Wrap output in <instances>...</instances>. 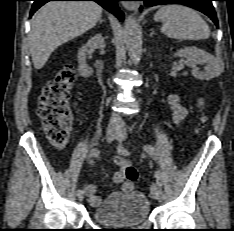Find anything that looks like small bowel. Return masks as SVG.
<instances>
[{
    "label": "small bowel",
    "mask_w": 234,
    "mask_h": 231,
    "mask_svg": "<svg viewBox=\"0 0 234 231\" xmlns=\"http://www.w3.org/2000/svg\"><path fill=\"white\" fill-rule=\"evenodd\" d=\"M168 103L170 105L171 113H172V119L176 125H181V123L186 119L188 115L187 109L180 104L179 97L177 94L173 93L170 94L168 97ZM121 190L123 192H130L134 184L130 181H122L121 182ZM86 195L88 196L89 202L93 206H97L101 203L102 199L99 195L96 193V188L93 184L89 183L85 187Z\"/></svg>",
    "instance_id": "1"
}]
</instances>
